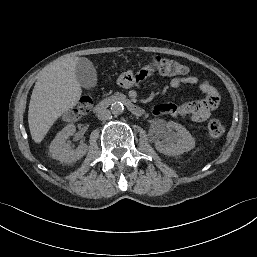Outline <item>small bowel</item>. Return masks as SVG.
<instances>
[{
    "instance_id": "small-bowel-1",
    "label": "small bowel",
    "mask_w": 257,
    "mask_h": 257,
    "mask_svg": "<svg viewBox=\"0 0 257 257\" xmlns=\"http://www.w3.org/2000/svg\"><path fill=\"white\" fill-rule=\"evenodd\" d=\"M157 77V68L151 63H144L141 66L131 65L119 70L116 75V82L123 89L141 88L146 84L153 83ZM185 85H198L199 91L204 97L180 105L159 104L153 108V113L155 115L188 117L194 122L207 120L219 104L220 96L217 88L210 81H200L194 75L175 76L170 81V86L173 89H181Z\"/></svg>"
}]
</instances>
